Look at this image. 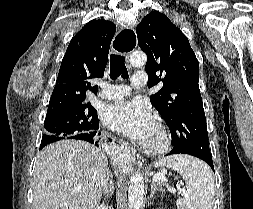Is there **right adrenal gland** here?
<instances>
[{"label":"right adrenal gland","instance_id":"obj_1","mask_svg":"<svg viewBox=\"0 0 253 209\" xmlns=\"http://www.w3.org/2000/svg\"><path fill=\"white\" fill-rule=\"evenodd\" d=\"M110 185H111V188H112V191L114 190V184H113V181H110Z\"/></svg>","mask_w":253,"mask_h":209}]
</instances>
